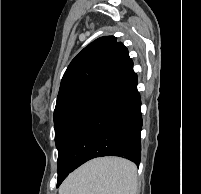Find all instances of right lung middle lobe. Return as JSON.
I'll list each match as a JSON object with an SVG mask.
<instances>
[{"instance_id": "dd1d6c3e", "label": "right lung middle lobe", "mask_w": 201, "mask_h": 194, "mask_svg": "<svg viewBox=\"0 0 201 194\" xmlns=\"http://www.w3.org/2000/svg\"><path fill=\"white\" fill-rule=\"evenodd\" d=\"M94 97H81L65 102L55 108L54 111V128L55 142L58 148L62 136L75 115L88 105Z\"/></svg>"}]
</instances>
